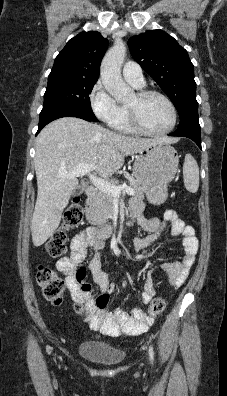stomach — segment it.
<instances>
[{"instance_id": "0dacf381", "label": "stomach", "mask_w": 227, "mask_h": 396, "mask_svg": "<svg viewBox=\"0 0 227 396\" xmlns=\"http://www.w3.org/2000/svg\"><path fill=\"white\" fill-rule=\"evenodd\" d=\"M178 163L176 150L165 143L150 145L138 153L133 176L150 203L160 205L166 201L167 186L175 177Z\"/></svg>"}]
</instances>
